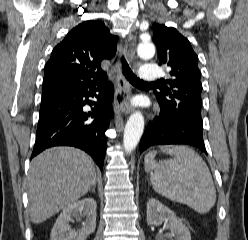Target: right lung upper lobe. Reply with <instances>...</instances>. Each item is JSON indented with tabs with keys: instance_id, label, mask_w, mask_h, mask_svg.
I'll list each match as a JSON object with an SVG mask.
<instances>
[{
	"instance_id": "obj_1",
	"label": "right lung upper lobe",
	"mask_w": 248,
	"mask_h": 240,
	"mask_svg": "<svg viewBox=\"0 0 248 240\" xmlns=\"http://www.w3.org/2000/svg\"><path fill=\"white\" fill-rule=\"evenodd\" d=\"M116 50L117 38L102 21L79 24L53 49L45 65L42 97L105 81L101 61L112 58Z\"/></svg>"
}]
</instances>
